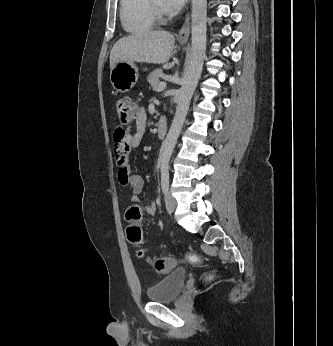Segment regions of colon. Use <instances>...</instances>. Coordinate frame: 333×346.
Returning <instances> with one entry per match:
<instances>
[{
	"label": "colon",
	"instance_id": "obj_1",
	"mask_svg": "<svg viewBox=\"0 0 333 346\" xmlns=\"http://www.w3.org/2000/svg\"><path fill=\"white\" fill-rule=\"evenodd\" d=\"M117 113L120 121L124 124L130 123L135 120L138 116V109L135 103L128 99H119L117 102ZM125 219L128 223L126 228V235L128 242L134 246L139 247L143 241L142 230L139 226L141 220V209L138 205L133 204L129 206L126 211ZM197 253L196 251L194 252ZM138 255L143 257V250L138 251ZM191 257L190 255L188 256ZM155 271L159 274L169 273L176 265V262L173 258H158L150 261ZM194 266L198 265L197 263L193 264ZM202 287L206 286L205 282L201 283Z\"/></svg>",
	"mask_w": 333,
	"mask_h": 346
}]
</instances>
